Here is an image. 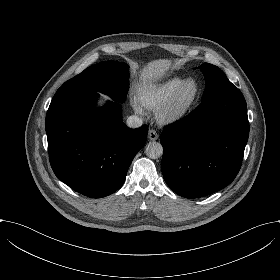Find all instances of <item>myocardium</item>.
<instances>
[{
    "mask_svg": "<svg viewBox=\"0 0 280 280\" xmlns=\"http://www.w3.org/2000/svg\"><path fill=\"white\" fill-rule=\"evenodd\" d=\"M190 80H194L197 83L198 86L197 96L190 104L184 107H179L177 104V100L180 94L182 93L186 83L189 82ZM202 94H203V86L197 78L195 77L185 78L181 82L178 89L172 95L170 101L159 110L158 116L160 121L165 125H174L179 123L184 118H186L193 111V109L198 105V103L201 100Z\"/></svg>",
    "mask_w": 280,
    "mask_h": 280,
    "instance_id": "f54148a6",
    "label": "myocardium"
}]
</instances>
